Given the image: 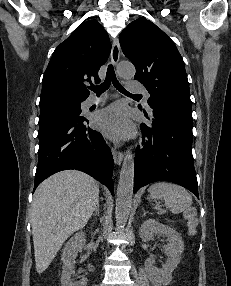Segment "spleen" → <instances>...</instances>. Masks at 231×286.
<instances>
[{"instance_id":"3e777b00","label":"spleen","mask_w":231,"mask_h":286,"mask_svg":"<svg viewBox=\"0 0 231 286\" xmlns=\"http://www.w3.org/2000/svg\"><path fill=\"white\" fill-rule=\"evenodd\" d=\"M148 199H160L165 203L172 213L179 214L192 205V196L188 191L176 184L167 182H157L148 188ZM154 209L162 211L160 206L156 205Z\"/></svg>"}]
</instances>
